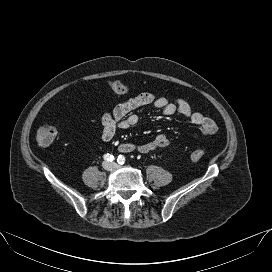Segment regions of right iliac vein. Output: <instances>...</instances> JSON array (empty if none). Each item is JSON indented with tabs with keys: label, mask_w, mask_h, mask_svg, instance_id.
<instances>
[{
	"label": "right iliac vein",
	"mask_w": 272,
	"mask_h": 272,
	"mask_svg": "<svg viewBox=\"0 0 272 272\" xmlns=\"http://www.w3.org/2000/svg\"><path fill=\"white\" fill-rule=\"evenodd\" d=\"M103 167L106 169V170H112V168H113V165L111 164V163H109V162H104L103 163Z\"/></svg>",
	"instance_id": "obj_1"
}]
</instances>
